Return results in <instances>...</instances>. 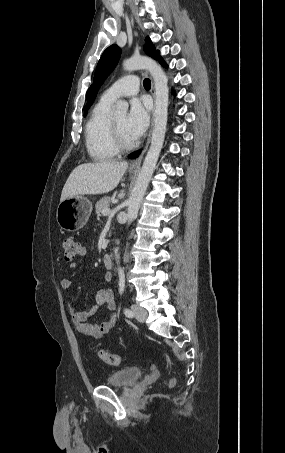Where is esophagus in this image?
Listing matches in <instances>:
<instances>
[{
	"label": "esophagus",
	"mask_w": 285,
	"mask_h": 453,
	"mask_svg": "<svg viewBox=\"0 0 285 453\" xmlns=\"http://www.w3.org/2000/svg\"><path fill=\"white\" fill-rule=\"evenodd\" d=\"M151 94L155 100V89H154V83L152 81V86H151ZM154 125V118H153V115H152V124H151V130H152V127ZM150 136H151V131L149 133V136H148V139H147V142H146V145L144 147V149L142 150L141 154L136 158L134 159L131 164H130V168L131 169H139L140 168V165H141V162H142V159H143V156L148 148V145H149V142H150Z\"/></svg>",
	"instance_id": "34e87169"
}]
</instances>
